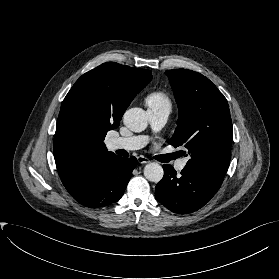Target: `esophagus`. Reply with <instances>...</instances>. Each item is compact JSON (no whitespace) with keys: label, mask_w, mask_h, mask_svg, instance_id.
Returning a JSON list of instances; mask_svg holds the SVG:
<instances>
[{"label":"esophagus","mask_w":279,"mask_h":279,"mask_svg":"<svg viewBox=\"0 0 279 279\" xmlns=\"http://www.w3.org/2000/svg\"><path fill=\"white\" fill-rule=\"evenodd\" d=\"M137 160H138V162L141 163V164H146V163H149V162H150V160H149L148 158L144 157V156H139V157H137Z\"/></svg>","instance_id":"obj_1"}]
</instances>
